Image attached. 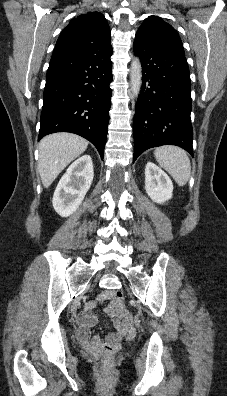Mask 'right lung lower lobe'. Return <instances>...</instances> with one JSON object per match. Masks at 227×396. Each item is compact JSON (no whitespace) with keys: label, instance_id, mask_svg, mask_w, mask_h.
I'll return each mask as SVG.
<instances>
[{"label":"right lung lower lobe","instance_id":"right-lung-lower-lobe-1","mask_svg":"<svg viewBox=\"0 0 227 396\" xmlns=\"http://www.w3.org/2000/svg\"><path fill=\"white\" fill-rule=\"evenodd\" d=\"M111 44L52 59L47 70L38 140L54 132L78 134L103 159L112 90Z\"/></svg>","mask_w":227,"mask_h":396}]
</instances>
